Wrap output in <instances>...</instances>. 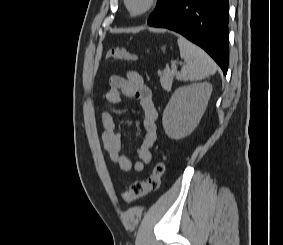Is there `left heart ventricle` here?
I'll list each match as a JSON object with an SVG mask.
<instances>
[{"instance_id": "obj_1", "label": "left heart ventricle", "mask_w": 283, "mask_h": 245, "mask_svg": "<svg viewBox=\"0 0 283 245\" xmlns=\"http://www.w3.org/2000/svg\"><path fill=\"white\" fill-rule=\"evenodd\" d=\"M147 0H130V6L133 11H138L144 7Z\"/></svg>"}]
</instances>
